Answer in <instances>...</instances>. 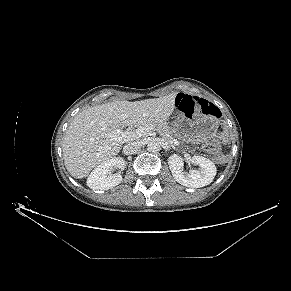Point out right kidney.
Listing matches in <instances>:
<instances>
[{"label": "right kidney", "mask_w": 291, "mask_h": 291, "mask_svg": "<svg viewBox=\"0 0 291 291\" xmlns=\"http://www.w3.org/2000/svg\"><path fill=\"white\" fill-rule=\"evenodd\" d=\"M126 166L121 157L111 158L98 165L89 175L87 185L93 190H108L122 181V175L118 172L111 174L114 168L123 169Z\"/></svg>", "instance_id": "obj_1"}]
</instances>
